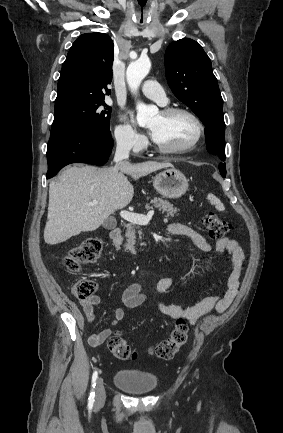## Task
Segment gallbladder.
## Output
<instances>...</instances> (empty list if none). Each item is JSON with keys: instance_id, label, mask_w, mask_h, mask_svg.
I'll return each instance as SVG.
<instances>
[{"instance_id": "bac80fb5", "label": "gallbladder", "mask_w": 283, "mask_h": 433, "mask_svg": "<svg viewBox=\"0 0 283 433\" xmlns=\"http://www.w3.org/2000/svg\"><path fill=\"white\" fill-rule=\"evenodd\" d=\"M103 227L104 229H109V231H111V229H115V227H117V223L116 221H113V219H108V221H105Z\"/></svg>"}]
</instances>
